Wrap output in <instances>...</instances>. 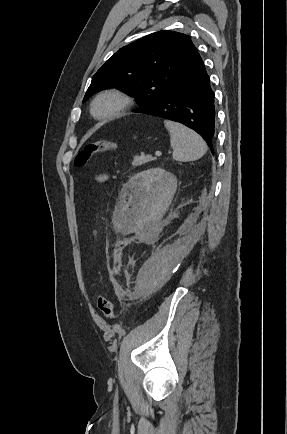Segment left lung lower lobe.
I'll return each instance as SVG.
<instances>
[{"mask_svg": "<svg viewBox=\"0 0 287 434\" xmlns=\"http://www.w3.org/2000/svg\"><path fill=\"white\" fill-rule=\"evenodd\" d=\"M135 112L180 122L200 134L213 150L214 93L202 59L185 71L156 104Z\"/></svg>", "mask_w": 287, "mask_h": 434, "instance_id": "left-lung-lower-lobe-1", "label": "left lung lower lobe"}]
</instances>
